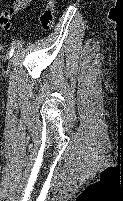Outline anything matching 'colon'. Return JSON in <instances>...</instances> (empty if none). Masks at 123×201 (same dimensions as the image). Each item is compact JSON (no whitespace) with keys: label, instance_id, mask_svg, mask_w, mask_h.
I'll return each instance as SVG.
<instances>
[{"label":"colon","instance_id":"colon-1","mask_svg":"<svg viewBox=\"0 0 123 201\" xmlns=\"http://www.w3.org/2000/svg\"><path fill=\"white\" fill-rule=\"evenodd\" d=\"M55 0H46L43 10L38 15V23L44 30L50 29L54 24Z\"/></svg>","mask_w":123,"mask_h":201}]
</instances>
